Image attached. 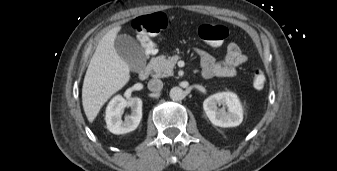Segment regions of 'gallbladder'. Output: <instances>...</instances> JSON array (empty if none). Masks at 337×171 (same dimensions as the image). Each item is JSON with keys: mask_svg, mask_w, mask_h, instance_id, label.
I'll list each match as a JSON object with an SVG mask.
<instances>
[{"mask_svg": "<svg viewBox=\"0 0 337 171\" xmlns=\"http://www.w3.org/2000/svg\"><path fill=\"white\" fill-rule=\"evenodd\" d=\"M118 55L134 72H140L145 66V55L137 42L129 35H120L115 40Z\"/></svg>", "mask_w": 337, "mask_h": 171, "instance_id": "gallbladder-1", "label": "gallbladder"}]
</instances>
